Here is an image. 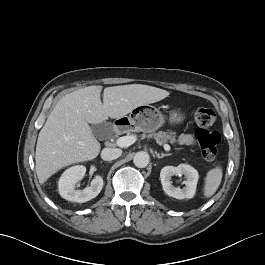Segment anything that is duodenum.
<instances>
[{"label":"duodenum","mask_w":265,"mask_h":265,"mask_svg":"<svg viewBox=\"0 0 265 265\" xmlns=\"http://www.w3.org/2000/svg\"><path fill=\"white\" fill-rule=\"evenodd\" d=\"M128 124L127 122H115L114 126H113V131L115 134H119L123 131L125 125Z\"/></svg>","instance_id":"obj_1"}]
</instances>
